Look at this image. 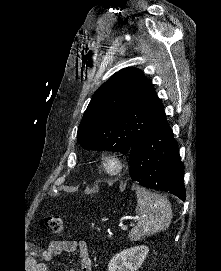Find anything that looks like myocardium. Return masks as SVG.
Returning <instances> with one entry per match:
<instances>
[{
    "label": "myocardium",
    "mask_w": 221,
    "mask_h": 271,
    "mask_svg": "<svg viewBox=\"0 0 221 271\" xmlns=\"http://www.w3.org/2000/svg\"><path fill=\"white\" fill-rule=\"evenodd\" d=\"M112 160L114 161L115 159H112ZM103 166H104V169L99 170V171L103 172L104 175L108 177H116L125 171V170H122L124 168L122 165H103Z\"/></svg>",
    "instance_id": "f54148a6"
}]
</instances>
